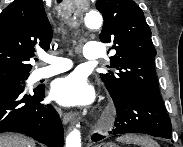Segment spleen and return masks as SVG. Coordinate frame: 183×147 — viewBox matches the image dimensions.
Instances as JSON below:
<instances>
[{"instance_id":"spleen-1","label":"spleen","mask_w":183,"mask_h":147,"mask_svg":"<svg viewBox=\"0 0 183 147\" xmlns=\"http://www.w3.org/2000/svg\"><path fill=\"white\" fill-rule=\"evenodd\" d=\"M118 141L125 143H133L140 147H159V145L147 136H136V135H127L119 137Z\"/></svg>"}]
</instances>
